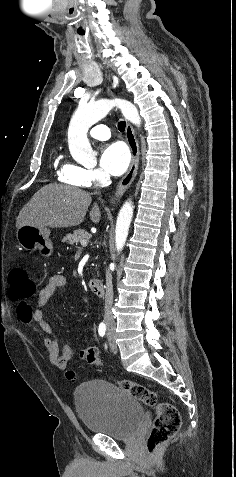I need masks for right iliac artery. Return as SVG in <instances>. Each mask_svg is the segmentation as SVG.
<instances>
[{
    "label": "right iliac artery",
    "mask_w": 236,
    "mask_h": 477,
    "mask_svg": "<svg viewBox=\"0 0 236 477\" xmlns=\"http://www.w3.org/2000/svg\"><path fill=\"white\" fill-rule=\"evenodd\" d=\"M106 332V325L104 323H100L99 328H98V333L101 337L105 335Z\"/></svg>",
    "instance_id": "right-iliac-artery-1"
}]
</instances>
